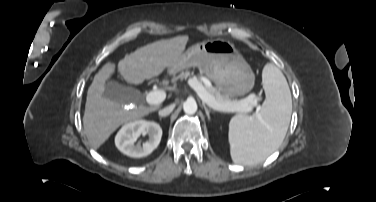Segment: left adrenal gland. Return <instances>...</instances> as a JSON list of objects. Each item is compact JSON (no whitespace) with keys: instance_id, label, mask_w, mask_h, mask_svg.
I'll use <instances>...</instances> for the list:
<instances>
[{"instance_id":"a2214340","label":"left adrenal gland","mask_w":376,"mask_h":202,"mask_svg":"<svg viewBox=\"0 0 376 202\" xmlns=\"http://www.w3.org/2000/svg\"><path fill=\"white\" fill-rule=\"evenodd\" d=\"M202 105L204 107V110H205V113L207 115L208 120H210V110L206 107V105L204 103Z\"/></svg>"}]
</instances>
